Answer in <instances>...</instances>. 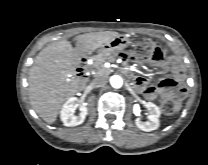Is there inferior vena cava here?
Wrapping results in <instances>:
<instances>
[{
	"mask_svg": "<svg viewBox=\"0 0 208 165\" xmlns=\"http://www.w3.org/2000/svg\"><path fill=\"white\" fill-rule=\"evenodd\" d=\"M95 86H100L106 83V78L103 76H98L96 77L93 82H92Z\"/></svg>",
	"mask_w": 208,
	"mask_h": 165,
	"instance_id": "602c4592",
	"label": "inferior vena cava"
}]
</instances>
